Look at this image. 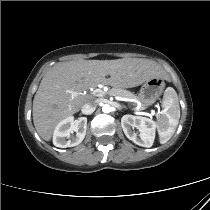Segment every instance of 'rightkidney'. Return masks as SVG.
Masks as SVG:
<instances>
[{"mask_svg":"<svg viewBox=\"0 0 210 210\" xmlns=\"http://www.w3.org/2000/svg\"><path fill=\"white\" fill-rule=\"evenodd\" d=\"M86 128V117H80L79 119L74 120L73 116H69L60 121L55 127L53 144L59 148L76 146L83 141L86 135ZM73 132H76V135L70 137Z\"/></svg>","mask_w":210,"mask_h":210,"instance_id":"obj_1","label":"right kidney"}]
</instances>
